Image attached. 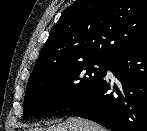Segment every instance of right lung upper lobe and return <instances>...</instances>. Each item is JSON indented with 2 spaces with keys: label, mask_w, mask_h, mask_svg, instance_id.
<instances>
[{
  "label": "right lung upper lobe",
  "mask_w": 147,
  "mask_h": 131,
  "mask_svg": "<svg viewBox=\"0 0 147 131\" xmlns=\"http://www.w3.org/2000/svg\"><path fill=\"white\" fill-rule=\"evenodd\" d=\"M147 38V0H78L51 29L31 77L87 59L111 60Z\"/></svg>",
  "instance_id": "obj_1"
}]
</instances>
